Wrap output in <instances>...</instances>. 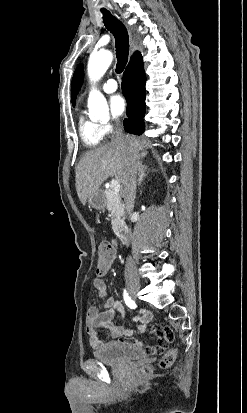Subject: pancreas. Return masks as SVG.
I'll return each instance as SVG.
<instances>
[{
  "instance_id": "obj_1",
  "label": "pancreas",
  "mask_w": 247,
  "mask_h": 413,
  "mask_svg": "<svg viewBox=\"0 0 247 413\" xmlns=\"http://www.w3.org/2000/svg\"><path fill=\"white\" fill-rule=\"evenodd\" d=\"M105 196L107 198V211H110L112 215V229L114 233H119L120 227L123 223L121 217H125L124 209L122 207L121 196L122 194H115L114 190L105 188Z\"/></svg>"
}]
</instances>
